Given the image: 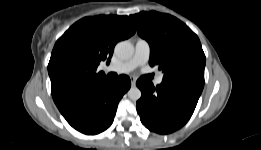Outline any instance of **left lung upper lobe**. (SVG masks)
I'll list each match as a JSON object with an SVG mask.
<instances>
[{"mask_svg":"<svg viewBox=\"0 0 261 150\" xmlns=\"http://www.w3.org/2000/svg\"><path fill=\"white\" fill-rule=\"evenodd\" d=\"M140 37L150 45L149 63L163 79L191 77L204 82L206 58L197 35L177 18L155 11L131 15Z\"/></svg>","mask_w":261,"mask_h":150,"instance_id":"obj_1","label":"left lung upper lobe"}]
</instances>
